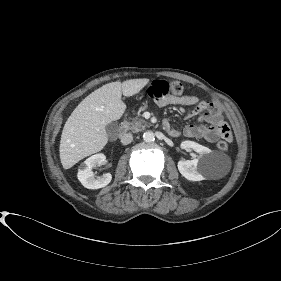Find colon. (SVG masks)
Masks as SVG:
<instances>
[{"instance_id": "colon-1", "label": "colon", "mask_w": 281, "mask_h": 281, "mask_svg": "<svg viewBox=\"0 0 281 281\" xmlns=\"http://www.w3.org/2000/svg\"><path fill=\"white\" fill-rule=\"evenodd\" d=\"M184 88L183 85L178 81H165L158 80L153 82L149 88L150 96L156 99L179 96L182 94ZM230 139L226 136L223 140H220L217 147L220 150H227L229 147Z\"/></svg>"}]
</instances>
